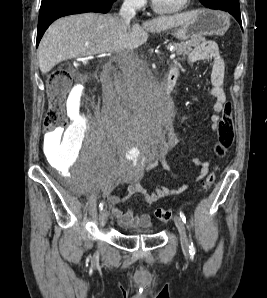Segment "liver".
<instances>
[{
    "label": "liver",
    "mask_w": 267,
    "mask_h": 298,
    "mask_svg": "<svg viewBox=\"0 0 267 298\" xmlns=\"http://www.w3.org/2000/svg\"><path fill=\"white\" fill-rule=\"evenodd\" d=\"M192 12L163 16L132 28L122 27L117 16L98 13L71 15L56 20L48 28L38 47L39 67L48 73L62 61L104 53H116L129 46L139 47L148 32L159 33L178 27L190 19Z\"/></svg>",
    "instance_id": "6515ba94"
}]
</instances>
